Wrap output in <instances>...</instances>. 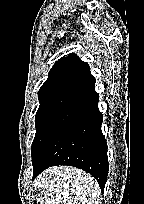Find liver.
<instances>
[{
  "label": "liver",
  "instance_id": "1",
  "mask_svg": "<svg viewBox=\"0 0 144 204\" xmlns=\"http://www.w3.org/2000/svg\"><path fill=\"white\" fill-rule=\"evenodd\" d=\"M42 191L41 204H98V182L83 170L56 166L43 171L34 182Z\"/></svg>",
  "mask_w": 144,
  "mask_h": 204
}]
</instances>
